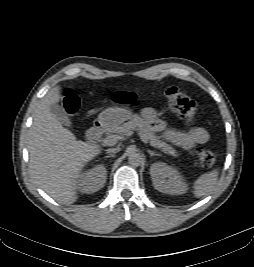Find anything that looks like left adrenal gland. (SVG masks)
Wrapping results in <instances>:
<instances>
[{"mask_svg":"<svg viewBox=\"0 0 254 267\" xmlns=\"http://www.w3.org/2000/svg\"><path fill=\"white\" fill-rule=\"evenodd\" d=\"M147 152L149 153L150 157H153V156H161L159 153H156L150 149L147 150Z\"/></svg>","mask_w":254,"mask_h":267,"instance_id":"1","label":"left adrenal gland"}]
</instances>
